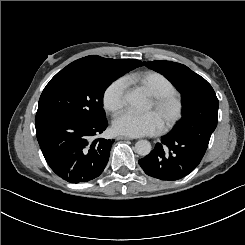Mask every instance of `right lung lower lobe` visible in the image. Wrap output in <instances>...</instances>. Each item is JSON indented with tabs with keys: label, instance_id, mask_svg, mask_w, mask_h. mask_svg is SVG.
Instances as JSON below:
<instances>
[{
	"label": "right lung lower lobe",
	"instance_id": "right-lung-lower-lobe-1",
	"mask_svg": "<svg viewBox=\"0 0 245 245\" xmlns=\"http://www.w3.org/2000/svg\"><path fill=\"white\" fill-rule=\"evenodd\" d=\"M107 125L106 119L88 122L50 118L35 122L37 140L48 165L70 183L87 182L103 172L113 140L92 139Z\"/></svg>",
	"mask_w": 245,
	"mask_h": 245
}]
</instances>
